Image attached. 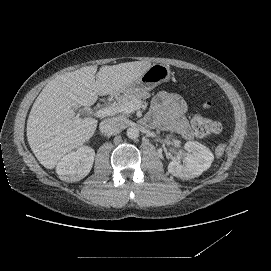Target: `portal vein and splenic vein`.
I'll return each mask as SVG.
<instances>
[{
	"label": "portal vein and splenic vein",
	"mask_w": 271,
	"mask_h": 271,
	"mask_svg": "<svg viewBox=\"0 0 271 271\" xmlns=\"http://www.w3.org/2000/svg\"><path fill=\"white\" fill-rule=\"evenodd\" d=\"M132 106L135 107V108H139L140 104H138L137 106H135L133 104H131V106L128 105V104H124V105L121 106L120 110L122 112H126L128 109H132ZM111 111L112 110L110 108H105V109L101 110L100 112H98V115H100V116H106V115H109L111 113Z\"/></svg>",
	"instance_id": "portal-vein-and-splenic-vein-1"
}]
</instances>
